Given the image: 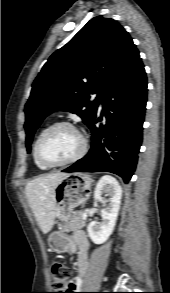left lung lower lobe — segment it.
Here are the masks:
<instances>
[{
    "mask_svg": "<svg viewBox=\"0 0 170 293\" xmlns=\"http://www.w3.org/2000/svg\"><path fill=\"white\" fill-rule=\"evenodd\" d=\"M147 101V77L139 51L134 46L114 72L101 96L102 116L88 125L92 146L88 154L63 172L107 171L127 183L135 171L142 143Z\"/></svg>",
    "mask_w": 170,
    "mask_h": 293,
    "instance_id": "1",
    "label": "left lung lower lobe"
}]
</instances>
